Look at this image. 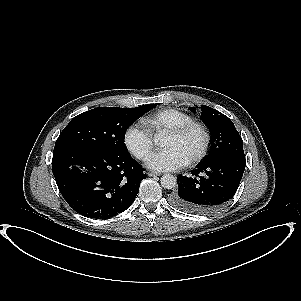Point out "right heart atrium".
<instances>
[{"instance_id":"1","label":"right heart atrium","mask_w":301,"mask_h":301,"mask_svg":"<svg viewBox=\"0 0 301 301\" xmlns=\"http://www.w3.org/2000/svg\"><path fill=\"white\" fill-rule=\"evenodd\" d=\"M125 144L140 159L147 157L154 148V140L151 133L136 126H131L127 129Z\"/></svg>"}]
</instances>
